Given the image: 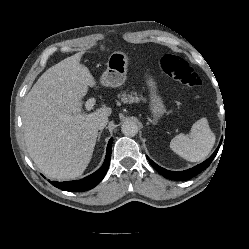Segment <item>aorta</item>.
Wrapping results in <instances>:
<instances>
[{"label":"aorta","instance_id":"obj_1","mask_svg":"<svg viewBox=\"0 0 249 249\" xmlns=\"http://www.w3.org/2000/svg\"><path fill=\"white\" fill-rule=\"evenodd\" d=\"M121 131L125 136L133 137L138 133V126L134 121H125L121 126Z\"/></svg>","mask_w":249,"mask_h":249}]
</instances>
